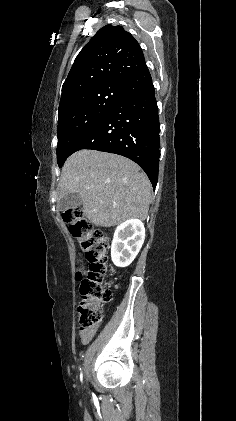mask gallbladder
<instances>
[{
  "mask_svg": "<svg viewBox=\"0 0 236 421\" xmlns=\"http://www.w3.org/2000/svg\"><path fill=\"white\" fill-rule=\"evenodd\" d=\"M80 204H82V200L78 192H69V194L58 200L57 206L59 211H68V208H77Z\"/></svg>",
  "mask_w": 236,
  "mask_h": 421,
  "instance_id": "bac80fb5",
  "label": "gallbladder"
}]
</instances>
